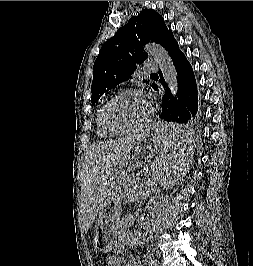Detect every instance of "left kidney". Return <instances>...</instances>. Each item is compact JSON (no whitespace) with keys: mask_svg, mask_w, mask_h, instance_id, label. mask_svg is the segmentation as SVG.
<instances>
[{"mask_svg":"<svg viewBox=\"0 0 253 266\" xmlns=\"http://www.w3.org/2000/svg\"><path fill=\"white\" fill-rule=\"evenodd\" d=\"M136 218L133 215H127L124 221L121 223L119 231L120 240L122 243L128 246H138L146 241L149 234V230L145 232L131 231L129 228L134 225Z\"/></svg>","mask_w":253,"mask_h":266,"instance_id":"obj_1","label":"left kidney"}]
</instances>
